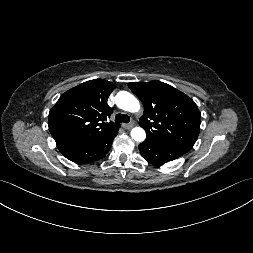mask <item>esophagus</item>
I'll return each mask as SVG.
<instances>
[{"label":"esophagus","mask_w":253,"mask_h":253,"mask_svg":"<svg viewBox=\"0 0 253 253\" xmlns=\"http://www.w3.org/2000/svg\"><path fill=\"white\" fill-rule=\"evenodd\" d=\"M133 126H134L133 124H124V125H123V127H124L125 129H128V130L131 129V128H133Z\"/></svg>","instance_id":"34e87169"}]
</instances>
